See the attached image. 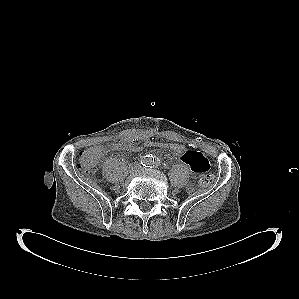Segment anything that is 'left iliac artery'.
Instances as JSON below:
<instances>
[{
  "instance_id": "left-iliac-artery-1",
  "label": "left iliac artery",
  "mask_w": 299,
  "mask_h": 299,
  "mask_svg": "<svg viewBox=\"0 0 299 299\" xmlns=\"http://www.w3.org/2000/svg\"><path fill=\"white\" fill-rule=\"evenodd\" d=\"M152 165L154 166H157V165H159V160H155V162H154V160H153V163H152Z\"/></svg>"
}]
</instances>
